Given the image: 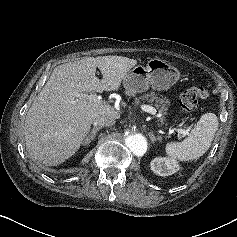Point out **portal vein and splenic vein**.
<instances>
[{
	"label": "portal vein and splenic vein",
	"mask_w": 237,
	"mask_h": 237,
	"mask_svg": "<svg viewBox=\"0 0 237 237\" xmlns=\"http://www.w3.org/2000/svg\"><path fill=\"white\" fill-rule=\"evenodd\" d=\"M85 96L92 102H97V103H102L103 102L101 96H98L96 94H94V95L93 94L92 95H85ZM140 108L143 111L151 113V114H156V112H157L154 107L146 105V104H142L140 106ZM173 130L178 132L179 134L184 135V136L189 134V132L187 130H184V129L174 128Z\"/></svg>",
	"instance_id": "portal-vein-and-splenic-vein-1"
}]
</instances>
